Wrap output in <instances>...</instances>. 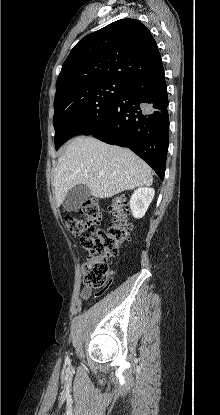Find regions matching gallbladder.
<instances>
[{"label": "gallbladder", "instance_id": "obj_1", "mask_svg": "<svg viewBox=\"0 0 220 415\" xmlns=\"http://www.w3.org/2000/svg\"><path fill=\"white\" fill-rule=\"evenodd\" d=\"M89 197V188L82 184L77 185L68 191L63 201V208L68 212L76 211Z\"/></svg>", "mask_w": 220, "mask_h": 415}]
</instances>
